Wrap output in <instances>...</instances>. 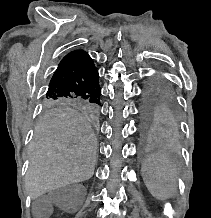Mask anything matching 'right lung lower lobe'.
Segmentation results:
<instances>
[{
    "label": "right lung lower lobe",
    "instance_id": "obj_1",
    "mask_svg": "<svg viewBox=\"0 0 211 218\" xmlns=\"http://www.w3.org/2000/svg\"><path fill=\"white\" fill-rule=\"evenodd\" d=\"M98 71L90 56L77 50L59 63L49 83L46 97H78L100 104Z\"/></svg>",
    "mask_w": 211,
    "mask_h": 218
}]
</instances>
